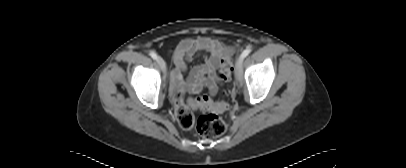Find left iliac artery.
Listing matches in <instances>:
<instances>
[{
  "label": "left iliac artery",
  "instance_id": "left-iliac-artery-1",
  "mask_svg": "<svg viewBox=\"0 0 406 168\" xmlns=\"http://www.w3.org/2000/svg\"><path fill=\"white\" fill-rule=\"evenodd\" d=\"M251 52V50L250 49H245L243 52H242V54H241V58L242 59H244L246 56H248L249 55V53Z\"/></svg>",
  "mask_w": 406,
  "mask_h": 168
}]
</instances>
